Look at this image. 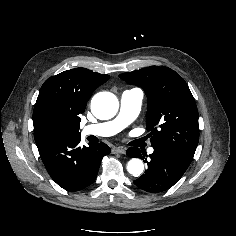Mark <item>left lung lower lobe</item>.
I'll return each mask as SVG.
<instances>
[{"label": "left lung lower lobe", "instance_id": "1", "mask_svg": "<svg viewBox=\"0 0 236 236\" xmlns=\"http://www.w3.org/2000/svg\"><path fill=\"white\" fill-rule=\"evenodd\" d=\"M154 152L147 158V170L134 181L140 189L150 193H160L172 187L185 173L193 160V154L176 150L171 147L155 145ZM127 155L140 158L138 148H129ZM145 156V154L143 153ZM144 159V157H142Z\"/></svg>", "mask_w": 236, "mask_h": 236}]
</instances>
